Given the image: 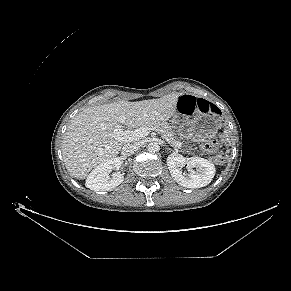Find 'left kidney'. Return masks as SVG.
<instances>
[{"mask_svg":"<svg viewBox=\"0 0 291 291\" xmlns=\"http://www.w3.org/2000/svg\"><path fill=\"white\" fill-rule=\"evenodd\" d=\"M167 165L173 179L186 188L204 187L215 175V166L207 159L196 156L185 158L174 152L167 157ZM185 165H187L188 173L181 170ZM194 167L196 171L193 170Z\"/></svg>","mask_w":291,"mask_h":291,"instance_id":"obj_1","label":"left kidney"}]
</instances>
